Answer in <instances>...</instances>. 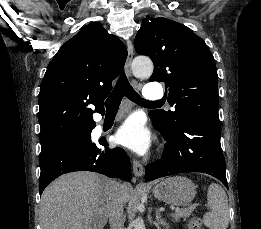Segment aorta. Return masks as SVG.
<instances>
[{"mask_svg":"<svg viewBox=\"0 0 261 229\" xmlns=\"http://www.w3.org/2000/svg\"><path fill=\"white\" fill-rule=\"evenodd\" d=\"M131 68L137 78H149L154 66L151 58H148V56H136L131 64ZM133 227L134 229H146V225L141 217L133 221Z\"/></svg>","mask_w":261,"mask_h":229,"instance_id":"aorta-1","label":"aorta"}]
</instances>
